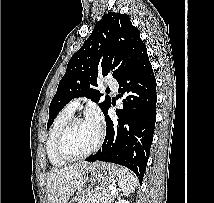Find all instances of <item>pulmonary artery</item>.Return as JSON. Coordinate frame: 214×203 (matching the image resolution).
Segmentation results:
<instances>
[{"label":"pulmonary artery","instance_id":"1","mask_svg":"<svg viewBox=\"0 0 214 203\" xmlns=\"http://www.w3.org/2000/svg\"><path fill=\"white\" fill-rule=\"evenodd\" d=\"M105 84L112 90L114 91H117L118 89V83L115 79L113 78H108L105 80ZM79 105V101L78 100H72L70 103H69V107L72 108V109H76Z\"/></svg>","mask_w":214,"mask_h":203}]
</instances>
